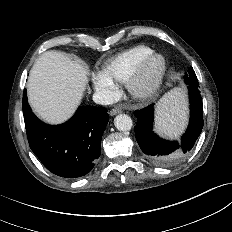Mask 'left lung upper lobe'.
Instances as JSON below:
<instances>
[{
    "instance_id": "5c2ea615",
    "label": "left lung upper lobe",
    "mask_w": 232,
    "mask_h": 232,
    "mask_svg": "<svg viewBox=\"0 0 232 232\" xmlns=\"http://www.w3.org/2000/svg\"><path fill=\"white\" fill-rule=\"evenodd\" d=\"M191 73L195 74V72H194V70H193L192 67L188 70V74H186V76L189 77V74H191Z\"/></svg>"
}]
</instances>
